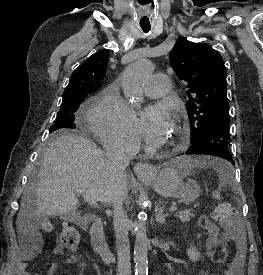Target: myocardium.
Masks as SVG:
<instances>
[{
	"mask_svg": "<svg viewBox=\"0 0 263 275\" xmlns=\"http://www.w3.org/2000/svg\"><path fill=\"white\" fill-rule=\"evenodd\" d=\"M175 128H176V137L169 145L171 148L180 147L186 140L185 127L183 125L177 123V124H175Z\"/></svg>",
	"mask_w": 263,
	"mask_h": 275,
	"instance_id": "myocardium-1",
	"label": "myocardium"
}]
</instances>
